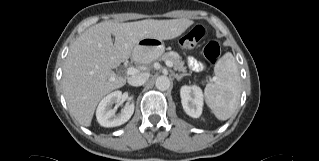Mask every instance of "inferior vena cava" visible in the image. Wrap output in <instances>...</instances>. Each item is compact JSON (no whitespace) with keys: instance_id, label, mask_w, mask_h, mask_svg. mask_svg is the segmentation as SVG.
<instances>
[{"instance_id":"obj_1","label":"inferior vena cava","mask_w":319,"mask_h":161,"mask_svg":"<svg viewBox=\"0 0 319 161\" xmlns=\"http://www.w3.org/2000/svg\"><path fill=\"white\" fill-rule=\"evenodd\" d=\"M149 78V73L143 72L128 78V83L132 86H141L143 85Z\"/></svg>"}]
</instances>
